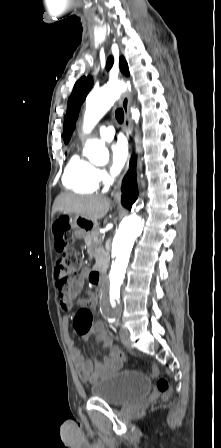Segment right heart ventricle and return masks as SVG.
Masks as SVG:
<instances>
[{
    "instance_id": "right-heart-ventricle-1",
    "label": "right heart ventricle",
    "mask_w": 221,
    "mask_h": 448,
    "mask_svg": "<svg viewBox=\"0 0 221 448\" xmlns=\"http://www.w3.org/2000/svg\"><path fill=\"white\" fill-rule=\"evenodd\" d=\"M96 169L94 165L75 154L65 168L62 182L66 188L76 193H94L99 187Z\"/></svg>"
}]
</instances>
